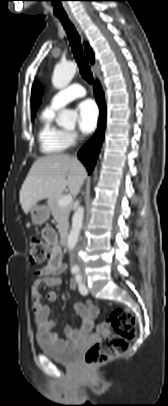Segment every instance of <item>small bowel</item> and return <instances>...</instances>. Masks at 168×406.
<instances>
[{"label":"small bowel","instance_id":"small-bowel-1","mask_svg":"<svg viewBox=\"0 0 168 406\" xmlns=\"http://www.w3.org/2000/svg\"><path fill=\"white\" fill-rule=\"evenodd\" d=\"M42 236L51 245L52 252L48 263L42 269L35 271L36 279L31 287L32 309L37 327V335L58 347L71 346L80 338L92 332L94 318L98 315L99 308L91 301H88L86 304L76 303L74 309L83 319L81 328L74 329L71 326H66L64 329L66 339H62L58 333L53 331L55 322L50 320L49 317L54 312V307L50 304H45L44 299L55 301L57 294L54 291H49L46 296H43L39 292V288L43 284L46 286L56 285L59 281V275L65 271L66 266L62 260V251L57 243L56 232L52 228L46 227L42 231ZM70 287L75 289L76 284L71 282Z\"/></svg>","mask_w":168,"mask_h":406}]
</instances>
